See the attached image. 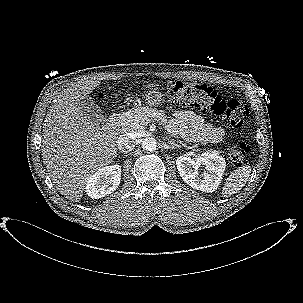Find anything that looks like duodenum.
Returning a JSON list of instances; mask_svg holds the SVG:
<instances>
[{
    "instance_id": "410a0bca",
    "label": "duodenum",
    "mask_w": 303,
    "mask_h": 303,
    "mask_svg": "<svg viewBox=\"0 0 303 303\" xmlns=\"http://www.w3.org/2000/svg\"><path fill=\"white\" fill-rule=\"evenodd\" d=\"M120 115L118 114H114L113 116H111V118L108 121V126L109 127H114L118 124V122L120 121Z\"/></svg>"
}]
</instances>
